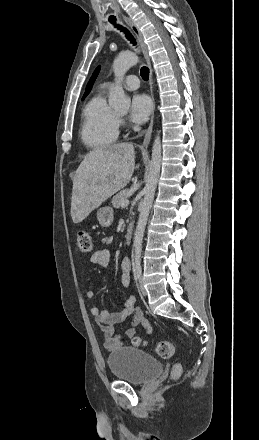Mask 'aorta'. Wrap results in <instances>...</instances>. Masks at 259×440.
I'll return each instance as SVG.
<instances>
[{"label":"aorta","instance_id":"obj_1","mask_svg":"<svg viewBox=\"0 0 259 440\" xmlns=\"http://www.w3.org/2000/svg\"><path fill=\"white\" fill-rule=\"evenodd\" d=\"M139 62V58L134 53H121L113 62V71L115 76V86L111 89L109 95V105L120 111H128L130 108L131 100L125 94L122 81L126 72ZM161 167V140L157 135L153 148H152V160L150 164V170L147 176L145 195L142 203L137 227L134 234V259L139 262L142 251V242L145 227L147 224L150 209L152 207L157 182L160 174Z\"/></svg>","mask_w":259,"mask_h":440}]
</instances>
